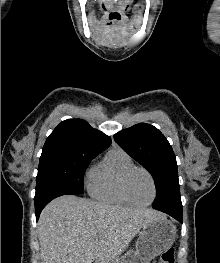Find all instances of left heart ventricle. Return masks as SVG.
Here are the masks:
<instances>
[{"label":"left heart ventricle","instance_id":"1","mask_svg":"<svg viewBox=\"0 0 220 263\" xmlns=\"http://www.w3.org/2000/svg\"><path fill=\"white\" fill-rule=\"evenodd\" d=\"M129 193L132 199L140 204L147 203L152 197V184L148 176L136 171L129 180Z\"/></svg>","mask_w":220,"mask_h":263}]
</instances>
